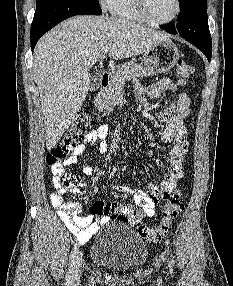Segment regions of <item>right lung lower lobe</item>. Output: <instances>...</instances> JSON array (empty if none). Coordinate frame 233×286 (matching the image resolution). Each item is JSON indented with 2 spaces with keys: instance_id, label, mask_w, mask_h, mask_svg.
<instances>
[{
  "instance_id": "1",
  "label": "right lung lower lobe",
  "mask_w": 233,
  "mask_h": 286,
  "mask_svg": "<svg viewBox=\"0 0 233 286\" xmlns=\"http://www.w3.org/2000/svg\"><path fill=\"white\" fill-rule=\"evenodd\" d=\"M101 15L88 7L69 0H55L42 11L35 13L31 25L32 52L39 38L61 21L75 15Z\"/></svg>"
}]
</instances>
